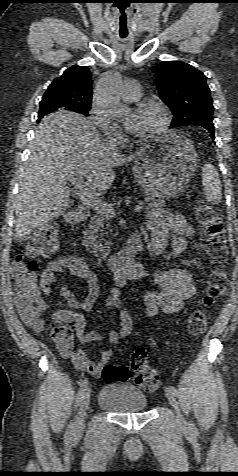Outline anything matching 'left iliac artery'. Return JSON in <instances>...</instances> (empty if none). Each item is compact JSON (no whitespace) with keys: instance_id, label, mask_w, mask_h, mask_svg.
Here are the masks:
<instances>
[{"instance_id":"left-iliac-artery-1","label":"left iliac artery","mask_w":238,"mask_h":476,"mask_svg":"<svg viewBox=\"0 0 238 476\" xmlns=\"http://www.w3.org/2000/svg\"><path fill=\"white\" fill-rule=\"evenodd\" d=\"M169 388L173 392L174 395H178V391L174 386L170 385ZM190 425H191V429L193 430V432H197V429L194 426V424L191 423Z\"/></svg>"}]
</instances>
